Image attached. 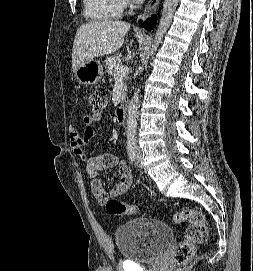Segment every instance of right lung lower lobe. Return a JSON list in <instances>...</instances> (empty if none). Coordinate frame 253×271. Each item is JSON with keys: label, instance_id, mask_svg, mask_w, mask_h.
<instances>
[{"label": "right lung lower lobe", "instance_id": "1", "mask_svg": "<svg viewBox=\"0 0 253 271\" xmlns=\"http://www.w3.org/2000/svg\"><path fill=\"white\" fill-rule=\"evenodd\" d=\"M156 20L155 17L149 18L144 24H142V27H145L147 30L153 29V26H155Z\"/></svg>", "mask_w": 253, "mask_h": 271}]
</instances>
